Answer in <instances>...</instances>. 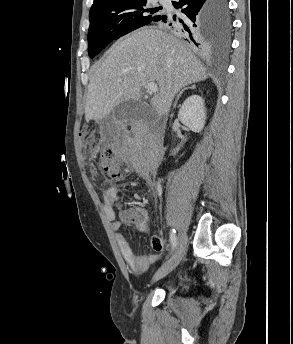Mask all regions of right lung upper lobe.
<instances>
[{"label": "right lung upper lobe", "mask_w": 293, "mask_h": 344, "mask_svg": "<svg viewBox=\"0 0 293 344\" xmlns=\"http://www.w3.org/2000/svg\"><path fill=\"white\" fill-rule=\"evenodd\" d=\"M116 1H119V0H94L93 5L91 7V10L98 8V7H101V6H104V5H107V4H110V3H113V2H116Z\"/></svg>", "instance_id": "1"}]
</instances>
